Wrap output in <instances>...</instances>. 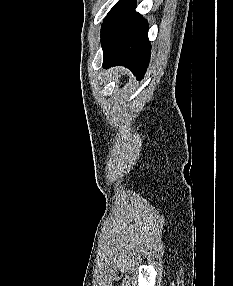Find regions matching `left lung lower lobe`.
I'll return each mask as SVG.
<instances>
[{"label": "left lung lower lobe", "instance_id": "obj_1", "mask_svg": "<svg viewBox=\"0 0 233 286\" xmlns=\"http://www.w3.org/2000/svg\"><path fill=\"white\" fill-rule=\"evenodd\" d=\"M136 0H119L101 28L103 66L124 65L143 78L151 55L148 23L135 12Z\"/></svg>", "mask_w": 233, "mask_h": 286}]
</instances>
